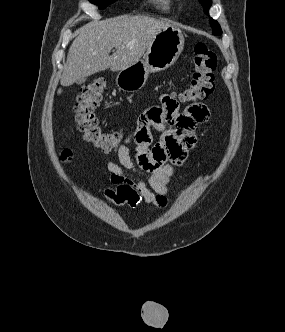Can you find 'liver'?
I'll list each match as a JSON object with an SVG mask.
<instances>
[{"mask_svg": "<svg viewBox=\"0 0 285 332\" xmlns=\"http://www.w3.org/2000/svg\"><path fill=\"white\" fill-rule=\"evenodd\" d=\"M171 25L169 21L137 15L83 26L69 48L60 84L70 86L106 69L115 72L132 66L140 61L155 36ZM113 48L116 52L109 56ZM61 92L59 89L58 94Z\"/></svg>", "mask_w": 285, "mask_h": 332, "instance_id": "1", "label": "liver"}]
</instances>
